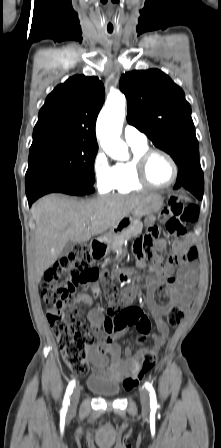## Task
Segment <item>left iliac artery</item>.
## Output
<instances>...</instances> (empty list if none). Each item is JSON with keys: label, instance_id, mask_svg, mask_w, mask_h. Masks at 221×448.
Instances as JSON below:
<instances>
[{"label": "left iliac artery", "instance_id": "44dca946", "mask_svg": "<svg viewBox=\"0 0 221 448\" xmlns=\"http://www.w3.org/2000/svg\"><path fill=\"white\" fill-rule=\"evenodd\" d=\"M145 387L150 392V408H151V410H156L157 400H156V394H155L154 388L148 382L145 383Z\"/></svg>", "mask_w": 221, "mask_h": 448}]
</instances>
